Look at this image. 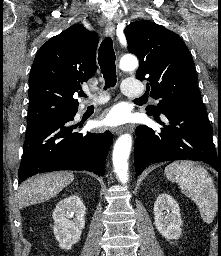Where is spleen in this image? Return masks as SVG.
Here are the masks:
<instances>
[{"instance_id":"3e777b00","label":"spleen","mask_w":221,"mask_h":256,"mask_svg":"<svg viewBox=\"0 0 221 256\" xmlns=\"http://www.w3.org/2000/svg\"><path fill=\"white\" fill-rule=\"evenodd\" d=\"M165 175L194 201L203 221L211 223L218 210V194L206 169L192 161H175L165 167Z\"/></svg>"}]
</instances>
